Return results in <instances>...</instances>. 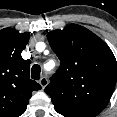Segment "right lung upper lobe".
<instances>
[{"label":"right lung upper lobe","instance_id":"cb5924a9","mask_svg":"<svg viewBox=\"0 0 117 117\" xmlns=\"http://www.w3.org/2000/svg\"><path fill=\"white\" fill-rule=\"evenodd\" d=\"M29 37L12 28L0 30V117L22 115L32 91L41 89L30 79V60L21 57Z\"/></svg>","mask_w":117,"mask_h":117}]
</instances>
